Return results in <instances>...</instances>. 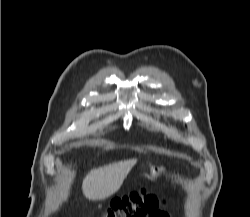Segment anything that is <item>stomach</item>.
<instances>
[{
  "mask_svg": "<svg viewBox=\"0 0 250 217\" xmlns=\"http://www.w3.org/2000/svg\"><path fill=\"white\" fill-rule=\"evenodd\" d=\"M152 172H153V173L155 172L154 168L152 169Z\"/></svg>",
  "mask_w": 250,
  "mask_h": 217,
  "instance_id": "stomach-1",
  "label": "stomach"
}]
</instances>
